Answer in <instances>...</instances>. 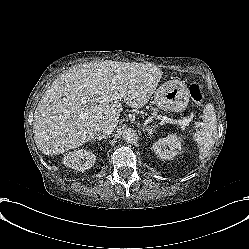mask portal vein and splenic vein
Here are the masks:
<instances>
[{
    "label": "portal vein and splenic vein",
    "instance_id": "1",
    "mask_svg": "<svg viewBox=\"0 0 249 249\" xmlns=\"http://www.w3.org/2000/svg\"><path fill=\"white\" fill-rule=\"evenodd\" d=\"M123 93L118 94L117 98L123 97ZM175 123H179L180 125L187 126L189 124V119H184V120H174Z\"/></svg>",
    "mask_w": 249,
    "mask_h": 249
}]
</instances>
